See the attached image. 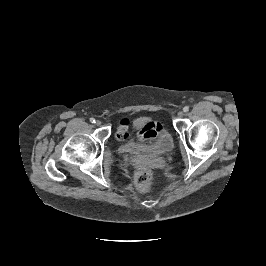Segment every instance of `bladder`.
I'll list each match as a JSON object with an SVG mask.
<instances>
[{"label":"bladder","instance_id":"obj_1","mask_svg":"<svg viewBox=\"0 0 266 266\" xmlns=\"http://www.w3.org/2000/svg\"><path fill=\"white\" fill-rule=\"evenodd\" d=\"M145 123L143 119H137L134 122L133 128L136 129L142 126ZM174 146L173 138L171 134L166 131L162 130L156 137L154 141L149 143H138L134 140L127 142L124 145V152L128 155H144L147 153L153 154H167L169 153Z\"/></svg>","mask_w":266,"mask_h":266}]
</instances>
